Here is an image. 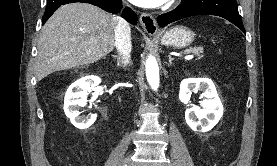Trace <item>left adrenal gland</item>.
I'll list each match as a JSON object with an SVG mask.
<instances>
[{"mask_svg":"<svg viewBox=\"0 0 277 166\" xmlns=\"http://www.w3.org/2000/svg\"><path fill=\"white\" fill-rule=\"evenodd\" d=\"M168 58H169V65H172V61H173V58L171 55H168Z\"/></svg>","mask_w":277,"mask_h":166,"instance_id":"left-adrenal-gland-1","label":"left adrenal gland"}]
</instances>
